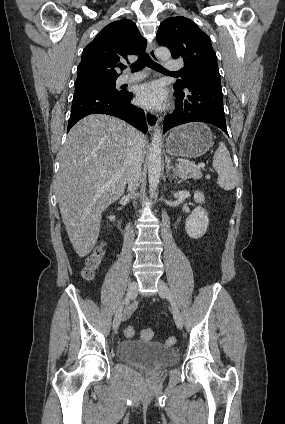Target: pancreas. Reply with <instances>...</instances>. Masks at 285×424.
I'll list each match as a JSON object with an SVG mask.
<instances>
[{
    "mask_svg": "<svg viewBox=\"0 0 285 424\" xmlns=\"http://www.w3.org/2000/svg\"><path fill=\"white\" fill-rule=\"evenodd\" d=\"M177 176L181 177L182 179L187 178H194V179H200L203 175L192 164L188 162H180L179 165L176 167V173Z\"/></svg>",
    "mask_w": 285,
    "mask_h": 424,
    "instance_id": "obj_1",
    "label": "pancreas"
}]
</instances>
